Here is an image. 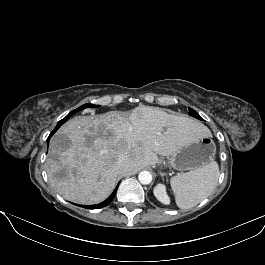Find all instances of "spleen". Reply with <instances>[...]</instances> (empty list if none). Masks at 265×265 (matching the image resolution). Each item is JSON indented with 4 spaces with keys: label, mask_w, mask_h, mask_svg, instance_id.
Returning a JSON list of instances; mask_svg holds the SVG:
<instances>
[{
    "label": "spleen",
    "mask_w": 265,
    "mask_h": 265,
    "mask_svg": "<svg viewBox=\"0 0 265 265\" xmlns=\"http://www.w3.org/2000/svg\"><path fill=\"white\" fill-rule=\"evenodd\" d=\"M219 175L218 164L212 161L195 170L172 177L170 185L177 206L189 209L199 204L215 189Z\"/></svg>",
    "instance_id": "obj_1"
}]
</instances>
